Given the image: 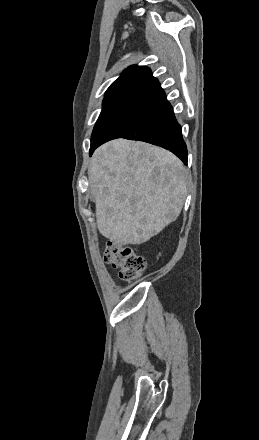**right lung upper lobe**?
<instances>
[{
	"mask_svg": "<svg viewBox=\"0 0 259 440\" xmlns=\"http://www.w3.org/2000/svg\"><path fill=\"white\" fill-rule=\"evenodd\" d=\"M158 83L148 67L132 66L110 85L105 96L120 93H147Z\"/></svg>",
	"mask_w": 259,
	"mask_h": 440,
	"instance_id": "obj_1",
	"label": "right lung upper lobe"
}]
</instances>
